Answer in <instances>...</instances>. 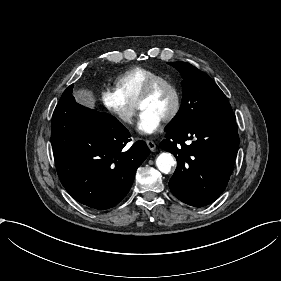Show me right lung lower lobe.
<instances>
[{
  "label": "right lung lower lobe",
  "mask_w": 281,
  "mask_h": 281,
  "mask_svg": "<svg viewBox=\"0 0 281 281\" xmlns=\"http://www.w3.org/2000/svg\"><path fill=\"white\" fill-rule=\"evenodd\" d=\"M73 85L56 106L51 143L61 183L78 202L98 210L116 206L129 192L137 168L149 155L144 141H131L129 131L113 116L75 102Z\"/></svg>",
  "instance_id": "98d812e1"
}]
</instances>
